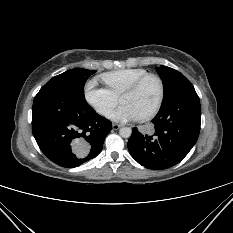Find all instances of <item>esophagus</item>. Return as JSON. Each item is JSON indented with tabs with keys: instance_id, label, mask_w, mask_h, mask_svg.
Masks as SVG:
<instances>
[{
	"instance_id": "esophagus-1",
	"label": "esophagus",
	"mask_w": 233,
	"mask_h": 233,
	"mask_svg": "<svg viewBox=\"0 0 233 233\" xmlns=\"http://www.w3.org/2000/svg\"><path fill=\"white\" fill-rule=\"evenodd\" d=\"M120 127H121V125H119V124H116V123L112 124V128L114 130H118Z\"/></svg>"
}]
</instances>
